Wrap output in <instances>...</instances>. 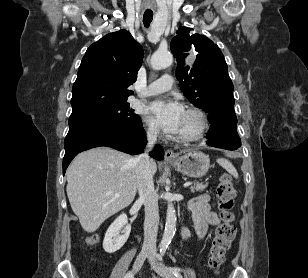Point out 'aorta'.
Here are the masks:
<instances>
[{
    "label": "aorta",
    "instance_id": "1",
    "mask_svg": "<svg viewBox=\"0 0 308 278\" xmlns=\"http://www.w3.org/2000/svg\"><path fill=\"white\" fill-rule=\"evenodd\" d=\"M173 62V56L168 51H156L151 57V67L154 70H161ZM176 211L171 202H168L166 213V225L160 246L165 249L171 243L176 231Z\"/></svg>",
    "mask_w": 308,
    "mask_h": 278
}]
</instances>
